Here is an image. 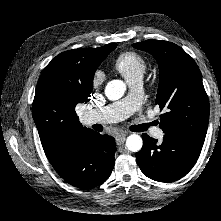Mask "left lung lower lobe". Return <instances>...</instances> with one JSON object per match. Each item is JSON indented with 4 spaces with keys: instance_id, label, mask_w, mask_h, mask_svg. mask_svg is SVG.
Wrapping results in <instances>:
<instances>
[{
    "instance_id": "0a47b994",
    "label": "left lung lower lobe",
    "mask_w": 221,
    "mask_h": 221,
    "mask_svg": "<svg viewBox=\"0 0 221 221\" xmlns=\"http://www.w3.org/2000/svg\"><path fill=\"white\" fill-rule=\"evenodd\" d=\"M143 147L135 154L141 171L155 181L173 182L185 176L196 163L203 145L165 133L162 143L142 134Z\"/></svg>"
}]
</instances>
